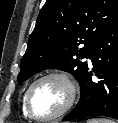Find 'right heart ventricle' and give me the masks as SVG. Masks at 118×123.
Listing matches in <instances>:
<instances>
[{"label":"right heart ventricle","instance_id":"e07e8e85","mask_svg":"<svg viewBox=\"0 0 118 123\" xmlns=\"http://www.w3.org/2000/svg\"><path fill=\"white\" fill-rule=\"evenodd\" d=\"M24 97H25V95L23 96V99H22V106H21L22 114L25 118H30L29 115L27 114L26 110H25Z\"/></svg>","mask_w":118,"mask_h":123}]
</instances>
